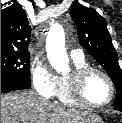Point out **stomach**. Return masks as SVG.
Wrapping results in <instances>:
<instances>
[{
	"mask_svg": "<svg viewBox=\"0 0 122 123\" xmlns=\"http://www.w3.org/2000/svg\"><path fill=\"white\" fill-rule=\"evenodd\" d=\"M82 123H103V121L99 116H97L96 114H93L91 117H89L86 121Z\"/></svg>",
	"mask_w": 122,
	"mask_h": 123,
	"instance_id": "0dacf381",
	"label": "stomach"
}]
</instances>
